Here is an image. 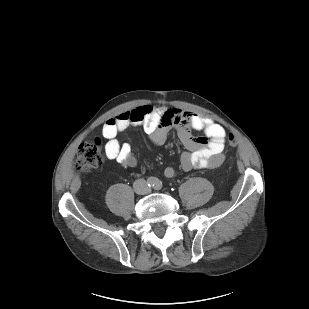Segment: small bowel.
<instances>
[{"mask_svg": "<svg viewBox=\"0 0 309 309\" xmlns=\"http://www.w3.org/2000/svg\"><path fill=\"white\" fill-rule=\"evenodd\" d=\"M137 126L144 129L150 142L156 146L162 145L169 133L175 130L186 149L180 157L183 171L214 169L225 160L226 132L222 126L197 113L151 104L125 111L104 124L102 135L107 140L104 148L107 158L127 167L137 165L130 143H120L116 139L119 132ZM192 131H202L204 136L194 137ZM164 174L172 178L175 170L167 167Z\"/></svg>", "mask_w": 309, "mask_h": 309, "instance_id": "obj_1", "label": "small bowel"}]
</instances>
